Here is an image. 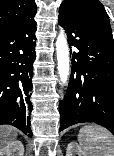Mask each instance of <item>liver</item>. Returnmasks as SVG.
<instances>
[{"mask_svg":"<svg viewBox=\"0 0 114 156\" xmlns=\"http://www.w3.org/2000/svg\"><path fill=\"white\" fill-rule=\"evenodd\" d=\"M18 135L16 128L9 125H0V150L13 142Z\"/></svg>","mask_w":114,"mask_h":156,"instance_id":"liver-1","label":"liver"}]
</instances>
